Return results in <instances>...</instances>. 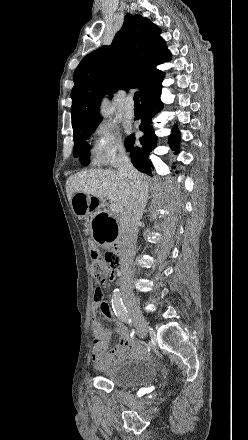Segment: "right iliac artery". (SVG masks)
Masks as SVG:
<instances>
[{
	"label": "right iliac artery",
	"mask_w": 248,
	"mask_h": 440,
	"mask_svg": "<svg viewBox=\"0 0 248 440\" xmlns=\"http://www.w3.org/2000/svg\"><path fill=\"white\" fill-rule=\"evenodd\" d=\"M112 308L115 315L128 325H132L126 306L124 305L119 289H115L112 295Z\"/></svg>",
	"instance_id": "82829eb1"
}]
</instances>
